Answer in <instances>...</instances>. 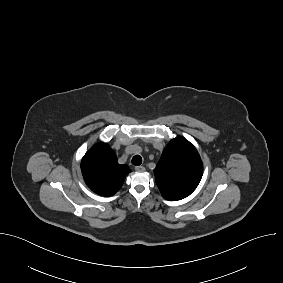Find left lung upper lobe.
<instances>
[{"label":"left lung upper lobe","instance_id":"5c2ea615","mask_svg":"<svg viewBox=\"0 0 283 283\" xmlns=\"http://www.w3.org/2000/svg\"><path fill=\"white\" fill-rule=\"evenodd\" d=\"M154 173L162 196L180 200L198 186L203 164L195 147L184 137H176L164 149Z\"/></svg>","mask_w":283,"mask_h":283}]
</instances>
